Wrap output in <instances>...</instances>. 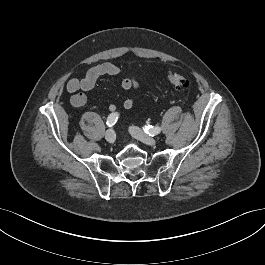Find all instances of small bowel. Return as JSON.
<instances>
[{
    "label": "small bowel",
    "instance_id": "c3829d8e",
    "mask_svg": "<svg viewBox=\"0 0 265 265\" xmlns=\"http://www.w3.org/2000/svg\"><path fill=\"white\" fill-rule=\"evenodd\" d=\"M121 73L119 66L112 63H101L88 69L83 78H72L66 84V89L69 93H72L71 104L76 108L84 106L87 102V96L85 92L92 90L98 79L103 76H117ZM121 86L125 90L135 89L139 86V82L134 77H126L122 80ZM134 104L132 97L123 101V108L130 109ZM108 110L113 112L116 110L114 104L108 106Z\"/></svg>",
    "mask_w": 265,
    "mask_h": 265
}]
</instances>
